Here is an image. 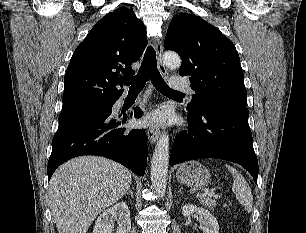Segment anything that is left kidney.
I'll list each match as a JSON object with an SVG mask.
<instances>
[{
	"label": "left kidney",
	"mask_w": 306,
	"mask_h": 233,
	"mask_svg": "<svg viewBox=\"0 0 306 233\" xmlns=\"http://www.w3.org/2000/svg\"><path fill=\"white\" fill-rule=\"evenodd\" d=\"M195 212L199 215V222L204 233H219L218 221L208 210L192 204L182 207V214L185 217L191 216Z\"/></svg>",
	"instance_id": "left-kidney-1"
}]
</instances>
